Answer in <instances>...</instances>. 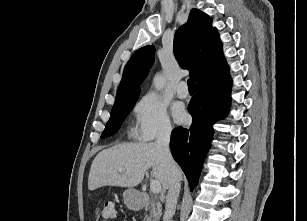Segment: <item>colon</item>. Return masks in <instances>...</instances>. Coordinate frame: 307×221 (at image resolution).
<instances>
[{
	"mask_svg": "<svg viewBox=\"0 0 307 221\" xmlns=\"http://www.w3.org/2000/svg\"><path fill=\"white\" fill-rule=\"evenodd\" d=\"M101 221H109L115 217V206L111 201H106L103 203L101 212Z\"/></svg>",
	"mask_w": 307,
	"mask_h": 221,
	"instance_id": "5ec220e1",
	"label": "colon"
}]
</instances>
